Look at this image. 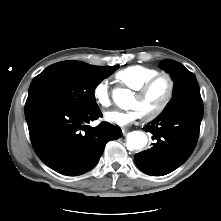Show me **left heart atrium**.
Segmentation results:
<instances>
[{
	"instance_id": "39dd6f15",
	"label": "left heart atrium",
	"mask_w": 221,
	"mask_h": 221,
	"mask_svg": "<svg viewBox=\"0 0 221 221\" xmlns=\"http://www.w3.org/2000/svg\"><path fill=\"white\" fill-rule=\"evenodd\" d=\"M140 117V112L134 108L129 111L113 110L105 114L107 121L122 127L132 124Z\"/></svg>"
}]
</instances>
